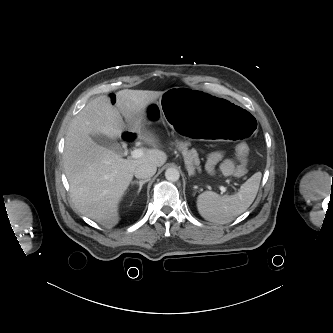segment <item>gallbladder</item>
<instances>
[{"label":"gallbladder","mask_w":333,"mask_h":333,"mask_svg":"<svg viewBox=\"0 0 333 333\" xmlns=\"http://www.w3.org/2000/svg\"><path fill=\"white\" fill-rule=\"evenodd\" d=\"M92 138L96 143L114 151L115 153L119 155L123 154V149L117 141L103 135L93 136Z\"/></svg>","instance_id":"obj_1"}]
</instances>
